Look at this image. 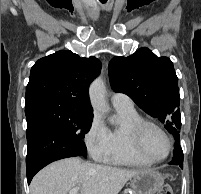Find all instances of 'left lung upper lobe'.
Returning <instances> with one entry per match:
<instances>
[{
  "mask_svg": "<svg viewBox=\"0 0 201 194\" xmlns=\"http://www.w3.org/2000/svg\"><path fill=\"white\" fill-rule=\"evenodd\" d=\"M112 89L127 94L146 113L159 119L174 137L181 129L178 78L171 60L148 48L114 57L108 66Z\"/></svg>",
  "mask_w": 201,
  "mask_h": 194,
  "instance_id": "left-lung-upper-lobe-1",
  "label": "left lung upper lobe"
}]
</instances>
